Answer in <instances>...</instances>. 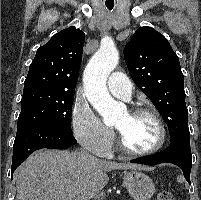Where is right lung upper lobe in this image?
<instances>
[{
	"label": "right lung upper lobe",
	"mask_w": 201,
	"mask_h": 200,
	"mask_svg": "<svg viewBox=\"0 0 201 200\" xmlns=\"http://www.w3.org/2000/svg\"><path fill=\"white\" fill-rule=\"evenodd\" d=\"M85 34L71 26L40 47L30 64L24 91H58L74 94Z\"/></svg>",
	"instance_id": "right-lung-upper-lobe-1"
}]
</instances>
